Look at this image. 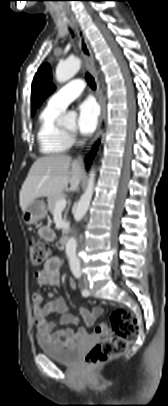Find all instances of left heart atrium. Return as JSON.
<instances>
[{
	"label": "left heart atrium",
	"instance_id": "39dd6f15",
	"mask_svg": "<svg viewBox=\"0 0 168 406\" xmlns=\"http://www.w3.org/2000/svg\"><path fill=\"white\" fill-rule=\"evenodd\" d=\"M76 126L83 135H91L98 124V109L92 101H84L78 105Z\"/></svg>",
	"mask_w": 168,
	"mask_h": 406
}]
</instances>
